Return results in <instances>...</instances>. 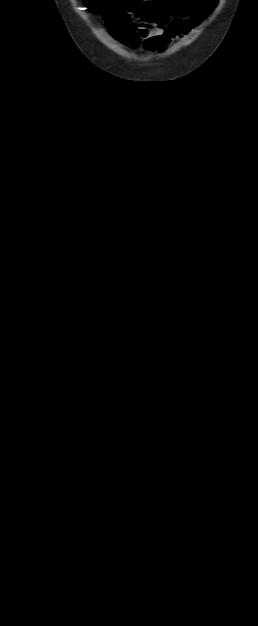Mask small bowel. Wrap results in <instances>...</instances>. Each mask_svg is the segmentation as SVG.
I'll list each match as a JSON object with an SVG mask.
<instances>
[{"instance_id": "1", "label": "small bowel", "mask_w": 258, "mask_h": 626, "mask_svg": "<svg viewBox=\"0 0 258 626\" xmlns=\"http://www.w3.org/2000/svg\"><path fill=\"white\" fill-rule=\"evenodd\" d=\"M89 7L102 9L111 34L125 46H140L148 52H164L170 42L197 27L215 7L217 0H173L152 19L135 24L129 10L119 9L118 0H88Z\"/></svg>"}]
</instances>
